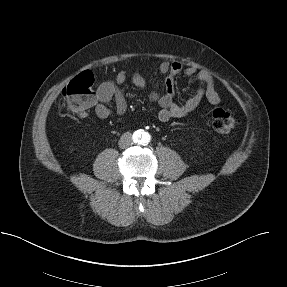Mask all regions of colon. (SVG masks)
I'll use <instances>...</instances> for the list:
<instances>
[{"instance_id":"colon-1","label":"colon","mask_w":287,"mask_h":287,"mask_svg":"<svg viewBox=\"0 0 287 287\" xmlns=\"http://www.w3.org/2000/svg\"><path fill=\"white\" fill-rule=\"evenodd\" d=\"M96 100L94 77L91 72L85 71L74 77L63 89L61 105L67 111L80 115ZM213 128L218 132L227 133L238 125V119L229 111L216 108L211 111Z\"/></svg>"}]
</instances>
